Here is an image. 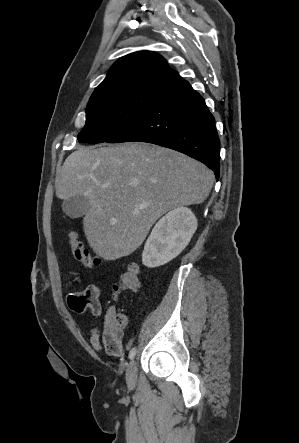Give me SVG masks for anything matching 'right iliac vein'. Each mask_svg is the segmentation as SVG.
Listing matches in <instances>:
<instances>
[{
  "label": "right iliac vein",
  "mask_w": 299,
  "mask_h": 443,
  "mask_svg": "<svg viewBox=\"0 0 299 443\" xmlns=\"http://www.w3.org/2000/svg\"><path fill=\"white\" fill-rule=\"evenodd\" d=\"M136 378H137V365H136V361L133 359L126 371V381H127V385L130 388H133L136 384Z\"/></svg>",
  "instance_id": "1"
}]
</instances>
